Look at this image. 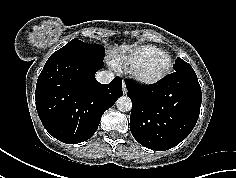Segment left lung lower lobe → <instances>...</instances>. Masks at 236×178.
Listing matches in <instances>:
<instances>
[{
	"label": "left lung lower lobe",
	"instance_id": "left-lung-lower-lobe-1",
	"mask_svg": "<svg viewBox=\"0 0 236 178\" xmlns=\"http://www.w3.org/2000/svg\"><path fill=\"white\" fill-rule=\"evenodd\" d=\"M125 83L133 104L130 130L142 146L168 150L193 130L202 101L195 72H174L148 86Z\"/></svg>",
	"mask_w": 236,
	"mask_h": 178
}]
</instances>
